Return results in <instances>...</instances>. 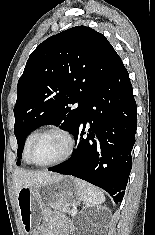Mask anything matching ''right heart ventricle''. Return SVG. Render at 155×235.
<instances>
[{
  "mask_svg": "<svg viewBox=\"0 0 155 235\" xmlns=\"http://www.w3.org/2000/svg\"><path fill=\"white\" fill-rule=\"evenodd\" d=\"M38 132H39L38 130H34V131L30 132L24 141L22 156H23V160L26 164H30L28 161V158H27V151H28V148H29L31 142L33 141L35 136L38 134Z\"/></svg>",
  "mask_w": 155,
  "mask_h": 235,
  "instance_id": "e07e8e85",
  "label": "right heart ventricle"
}]
</instances>
